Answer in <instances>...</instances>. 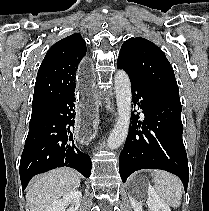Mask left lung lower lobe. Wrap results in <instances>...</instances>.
Returning a JSON list of instances; mask_svg holds the SVG:
<instances>
[{"label":"left lung lower lobe","instance_id":"0a47b994","mask_svg":"<svg viewBox=\"0 0 209 211\" xmlns=\"http://www.w3.org/2000/svg\"><path fill=\"white\" fill-rule=\"evenodd\" d=\"M131 81L132 101L144 113L132 116V123L119 158V172L123 182L140 169H161L177 175L185 191L189 180V168L182 140L181 102L177 95L151 88L131 75L122 63ZM135 107V106H134Z\"/></svg>","mask_w":209,"mask_h":211}]
</instances>
